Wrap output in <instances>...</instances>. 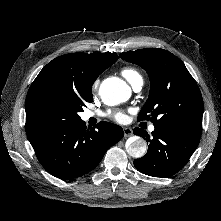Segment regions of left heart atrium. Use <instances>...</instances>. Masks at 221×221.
Listing matches in <instances>:
<instances>
[{
    "label": "left heart atrium",
    "mask_w": 221,
    "mask_h": 221,
    "mask_svg": "<svg viewBox=\"0 0 221 221\" xmlns=\"http://www.w3.org/2000/svg\"><path fill=\"white\" fill-rule=\"evenodd\" d=\"M107 116L118 122H123L125 120V115L121 111H110L107 113Z\"/></svg>",
    "instance_id": "39dd6f15"
}]
</instances>
